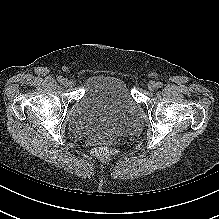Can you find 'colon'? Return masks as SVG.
Wrapping results in <instances>:
<instances>
[{
	"mask_svg": "<svg viewBox=\"0 0 219 219\" xmlns=\"http://www.w3.org/2000/svg\"><path fill=\"white\" fill-rule=\"evenodd\" d=\"M92 153L97 157L108 158L113 155L114 151L112 148L108 146H99V147H95L92 150Z\"/></svg>",
	"mask_w": 219,
	"mask_h": 219,
	"instance_id": "5ec220e1",
	"label": "colon"
}]
</instances>
